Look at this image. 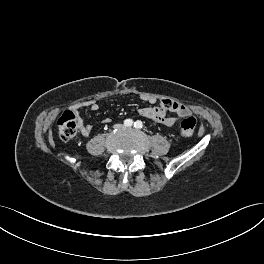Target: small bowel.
Segmentation results:
<instances>
[{"instance_id":"small-bowel-1","label":"small bowel","mask_w":264,"mask_h":264,"mask_svg":"<svg viewBox=\"0 0 264 264\" xmlns=\"http://www.w3.org/2000/svg\"><path fill=\"white\" fill-rule=\"evenodd\" d=\"M143 100L148 102L149 104H154L156 99L152 96L143 97ZM85 106L89 107L92 111H97L99 109V105L95 101H88L84 104ZM168 111L175 112L179 116H188L190 114L189 109L177 102L171 101L169 99H162L160 101L159 106H147L142 107L138 110V113L151 119L157 123L163 124L167 127H171L176 123V118L167 115ZM77 120H78V127L81 134L84 137H88L92 131V125L86 124L79 113L77 112ZM110 119H105L104 122H109Z\"/></svg>"}]
</instances>
